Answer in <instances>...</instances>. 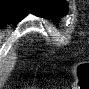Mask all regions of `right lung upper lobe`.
<instances>
[{
    "label": "right lung upper lobe",
    "instance_id": "1",
    "mask_svg": "<svg viewBox=\"0 0 89 89\" xmlns=\"http://www.w3.org/2000/svg\"><path fill=\"white\" fill-rule=\"evenodd\" d=\"M29 7L28 0H0V26L16 24L28 14Z\"/></svg>",
    "mask_w": 89,
    "mask_h": 89
}]
</instances>
